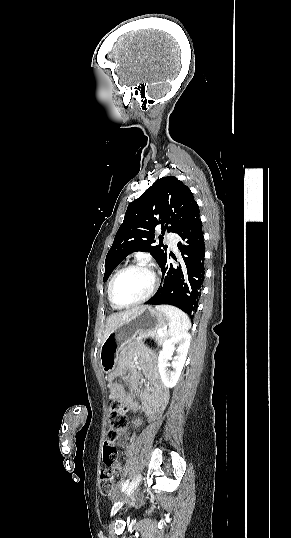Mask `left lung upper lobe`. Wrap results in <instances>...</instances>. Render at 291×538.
Listing matches in <instances>:
<instances>
[{"mask_svg":"<svg viewBox=\"0 0 291 538\" xmlns=\"http://www.w3.org/2000/svg\"><path fill=\"white\" fill-rule=\"evenodd\" d=\"M197 209L193 193L182 181L174 176L158 179L128 205L124 221L106 256L104 282L115 267L135 251L149 252L161 265L167 256V246L154 244L155 227L161 225L163 233L165 230L176 232Z\"/></svg>","mask_w":291,"mask_h":538,"instance_id":"obj_1","label":"left lung upper lobe"}]
</instances>
